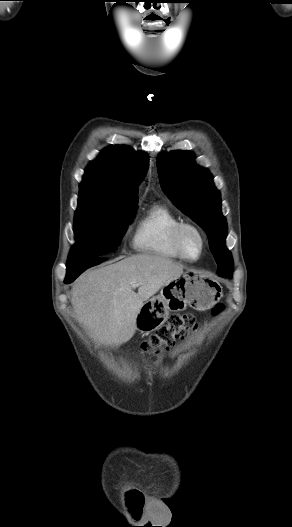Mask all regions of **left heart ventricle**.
<instances>
[{"instance_id":"1","label":"left heart ventricle","mask_w":292,"mask_h":527,"mask_svg":"<svg viewBox=\"0 0 292 527\" xmlns=\"http://www.w3.org/2000/svg\"><path fill=\"white\" fill-rule=\"evenodd\" d=\"M183 246H184L185 253L189 257L195 258L198 256L200 252V247H201L200 238L195 232L188 230L183 235Z\"/></svg>"}]
</instances>
